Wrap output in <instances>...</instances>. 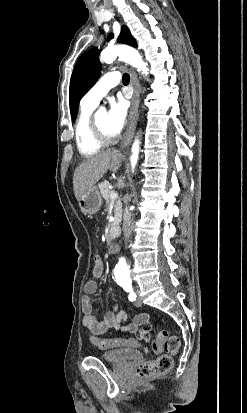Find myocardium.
<instances>
[{"label":"myocardium","instance_id":"1","mask_svg":"<svg viewBox=\"0 0 247 413\" xmlns=\"http://www.w3.org/2000/svg\"><path fill=\"white\" fill-rule=\"evenodd\" d=\"M92 130L94 138L101 145L109 146L114 142V138L112 136L105 135L99 126H94V122H92Z\"/></svg>","mask_w":247,"mask_h":413}]
</instances>
